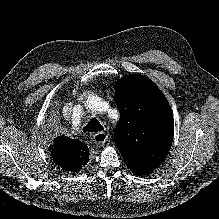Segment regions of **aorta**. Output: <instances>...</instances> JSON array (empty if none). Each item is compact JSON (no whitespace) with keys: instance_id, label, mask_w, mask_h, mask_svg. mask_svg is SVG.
I'll return each instance as SVG.
<instances>
[{"instance_id":"aorta-1","label":"aorta","mask_w":219,"mask_h":219,"mask_svg":"<svg viewBox=\"0 0 219 219\" xmlns=\"http://www.w3.org/2000/svg\"><path fill=\"white\" fill-rule=\"evenodd\" d=\"M86 105L93 112L99 113L102 111V109L105 105V101L97 95H90V96H88V99L86 101Z\"/></svg>"}]
</instances>
